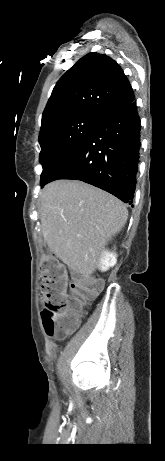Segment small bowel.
<instances>
[{"label":"small bowel","mask_w":165,"mask_h":461,"mask_svg":"<svg viewBox=\"0 0 165 461\" xmlns=\"http://www.w3.org/2000/svg\"><path fill=\"white\" fill-rule=\"evenodd\" d=\"M97 282L100 283V287H101V285L103 284V280H98Z\"/></svg>","instance_id":"c3829d8e"}]
</instances>
